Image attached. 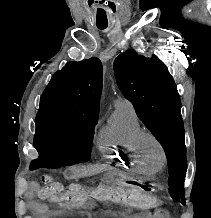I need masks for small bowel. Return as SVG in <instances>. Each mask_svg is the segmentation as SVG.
<instances>
[{"label": "small bowel", "instance_id": "small-bowel-1", "mask_svg": "<svg viewBox=\"0 0 211 218\" xmlns=\"http://www.w3.org/2000/svg\"><path fill=\"white\" fill-rule=\"evenodd\" d=\"M26 197L30 204L37 210H44L46 206L42 203L41 190L36 185H32L26 192Z\"/></svg>", "mask_w": 211, "mask_h": 218}]
</instances>
